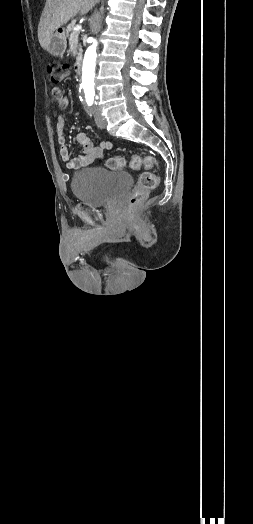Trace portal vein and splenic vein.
<instances>
[{"instance_id": "obj_1", "label": "portal vein and splenic vein", "mask_w": 253, "mask_h": 524, "mask_svg": "<svg viewBox=\"0 0 253 524\" xmlns=\"http://www.w3.org/2000/svg\"><path fill=\"white\" fill-rule=\"evenodd\" d=\"M81 29V25H77L74 27V31H79Z\"/></svg>"}]
</instances>
